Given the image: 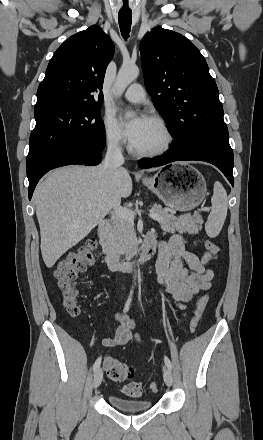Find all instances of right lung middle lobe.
<instances>
[{
  "label": "right lung middle lobe",
  "mask_w": 263,
  "mask_h": 440,
  "mask_svg": "<svg viewBox=\"0 0 263 440\" xmlns=\"http://www.w3.org/2000/svg\"><path fill=\"white\" fill-rule=\"evenodd\" d=\"M34 116L36 126L30 136L26 165L57 146L104 138L103 121L97 105L36 108Z\"/></svg>",
  "instance_id": "1"
}]
</instances>
